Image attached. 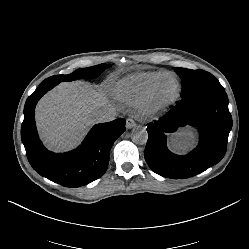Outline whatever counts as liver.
<instances>
[{"label": "liver", "instance_id": "liver-1", "mask_svg": "<svg viewBox=\"0 0 249 249\" xmlns=\"http://www.w3.org/2000/svg\"><path fill=\"white\" fill-rule=\"evenodd\" d=\"M110 106L102 89L89 82L60 83L36 106L35 120L40 138L55 152L74 148L97 122L95 113ZM196 137L190 127L179 129L171 137V146L184 153L196 144Z\"/></svg>", "mask_w": 249, "mask_h": 249}]
</instances>
